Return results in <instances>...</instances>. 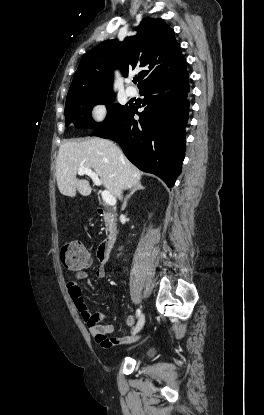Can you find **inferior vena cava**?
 <instances>
[{
  "mask_svg": "<svg viewBox=\"0 0 264 415\" xmlns=\"http://www.w3.org/2000/svg\"><path fill=\"white\" fill-rule=\"evenodd\" d=\"M121 194V193H120ZM120 194H119V197H120V199H122V196H120Z\"/></svg>",
  "mask_w": 264,
  "mask_h": 415,
  "instance_id": "1",
  "label": "inferior vena cava"
}]
</instances>
